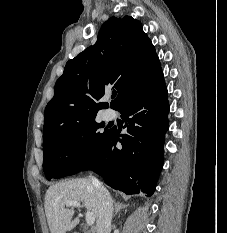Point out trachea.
I'll return each mask as SVG.
<instances>
[{
    "label": "trachea",
    "instance_id": "3493384b",
    "mask_svg": "<svg viewBox=\"0 0 227 233\" xmlns=\"http://www.w3.org/2000/svg\"><path fill=\"white\" fill-rule=\"evenodd\" d=\"M116 96V93L115 94H113V97H115Z\"/></svg>",
    "mask_w": 227,
    "mask_h": 233
}]
</instances>
